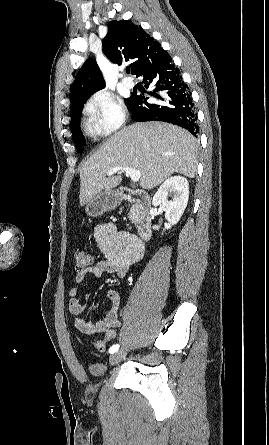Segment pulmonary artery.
<instances>
[{
  "instance_id": "obj_1",
  "label": "pulmonary artery",
  "mask_w": 269,
  "mask_h": 445,
  "mask_svg": "<svg viewBox=\"0 0 269 445\" xmlns=\"http://www.w3.org/2000/svg\"><path fill=\"white\" fill-rule=\"evenodd\" d=\"M122 84L126 87V88H132L134 86V82L132 79L130 78H123L122 79Z\"/></svg>"
}]
</instances>
